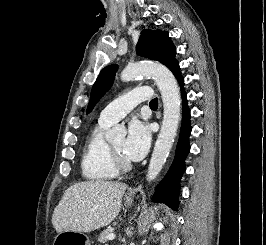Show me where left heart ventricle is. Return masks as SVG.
<instances>
[{
	"instance_id": "1",
	"label": "left heart ventricle",
	"mask_w": 266,
	"mask_h": 245,
	"mask_svg": "<svg viewBox=\"0 0 266 245\" xmlns=\"http://www.w3.org/2000/svg\"><path fill=\"white\" fill-rule=\"evenodd\" d=\"M123 138H117L115 140H113L112 142H110L113 150L123 159L126 160V158L124 157L123 153H122V147H123Z\"/></svg>"
}]
</instances>
